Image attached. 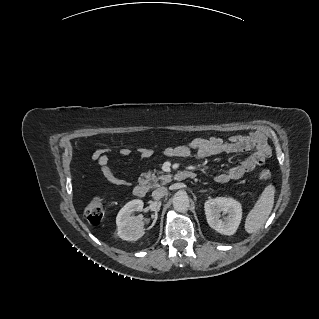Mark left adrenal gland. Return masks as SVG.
Returning <instances> with one entry per match:
<instances>
[{"instance_id":"a2214340","label":"left adrenal gland","mask_w":319,"mask_h":319,"mask_svg":"<svg viewBox=\"0 0 319 319\" xmlns=\"http://www.w3.org/2000/svg\"><path fill=\"white\" fill-rule=\"evenodd\" d=\"M200 192H205V190H201Z\"/></svg>"}]
</instances>
